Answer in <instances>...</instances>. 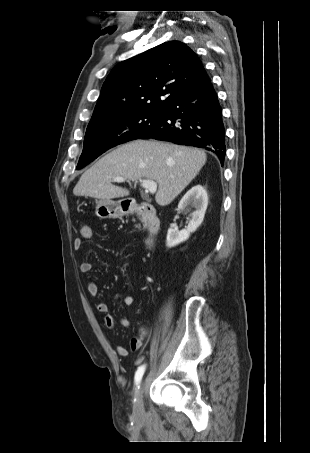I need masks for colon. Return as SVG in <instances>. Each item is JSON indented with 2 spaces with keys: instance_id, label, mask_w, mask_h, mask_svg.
Instances as JSON below:
<instances>
[{
  "instance_id": "5ec220e1",
  "label": "colon",
  "mask_w": 310,
  "mask_h": 453,
  "mask_svg": "<svg viewBox=\"0 0 310 453\" xmlns=\"http://www.w3.org/2000/svg\"><path fill=\"white\" fill-rule=\"evenodd\" d=\"M81 234L83 237H88L91 235V227L88 224H84L81 227Z\"/></svg>"
}]
</instances>
